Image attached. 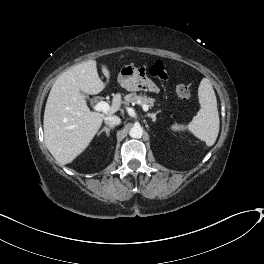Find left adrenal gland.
I'll use <instances>...</instances> for the list:
<instances>
[{
	"label": "left adrenal gland",
	"instance_id": "1",
	"mask_svg": "<svg viewBox=\"0 0 264 264\" xmlns=\"http://www.w3.org/2000/svg\"><path fill=\"white\" fill-rule=\"evenodd\" d=\"M158 113H160V111H157V112H155V113H147V116L148 117H150V118H152V121H156V115L158 114Z\"/></svg>",
	"mask_w": 264,
	"mask_h": 264
}]
</instances>
